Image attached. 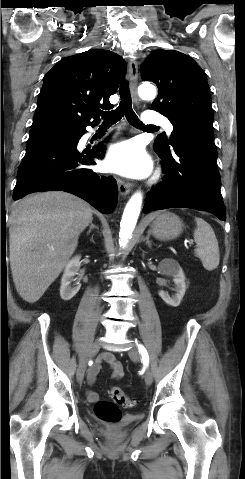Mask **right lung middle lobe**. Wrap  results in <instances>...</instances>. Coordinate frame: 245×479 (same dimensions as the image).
Here are the masks:
<instances>
[{
	"mask_svg": "<svg viewBox=\"0 0 245 479\" xmlns=\"http://www.w3.org/2000/svg\"><path fill=\"white\" fill-rule=\"evenodd\" d=\"M77 131V129H67V128H53V129H45V130H37V131H30V136L28 139V145H32L37 143L43 139L52 137L54 135L63 134V133H70Z\"/></svg>",
	"mask_w": 245,
	"mask_h": 479,
	"instance_id": "right-lung-middle-lobe-1",
	"label": "right lung middle lobe"
}]
</instances>
